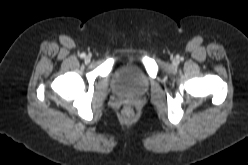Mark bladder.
<instances>
[{
  "instance_id": "bladder-1",
  "label": "bladder",
  "mask_w": 248,
  "mask_h": 165,
  "mask_svg": "<svg viewBox=\"0 0 248 165\" xmlns=\"http://www.w3.org/2000/svg\"><path fill=\"white\" fill-rule=\"evenodd\" d=\"M112 87L117 94L128 98L143 96L149 89V80L143 69L132 63L116 67L111 77Z\"/></svg>"
}]
</instances>
